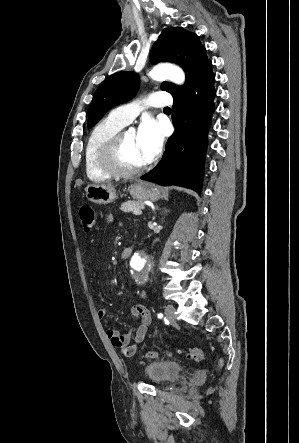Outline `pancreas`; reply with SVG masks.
Wrapping results in <instances>:
<instances>
[{
	"label": "pancreas",
	"mask_w": 299,
	"mask_h": 443,
	"mask_svg": "<svg viewBox=\"0 0 299 443\" xmlns=\"http://www.w3.org/2000/svg\"><path fill=\"white\" fill-rule=\"evenodd\" d=\"M144 205L140 204L137 201H127L121 204L120 210H122L123 212H131L134 211L135 209H143Z\"/></svg>",
	"instance_id": "pancreas-1"
}]
</instances>
